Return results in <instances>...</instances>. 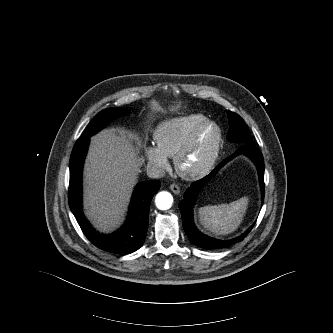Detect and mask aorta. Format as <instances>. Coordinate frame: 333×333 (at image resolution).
Returning a JSON list of instances; mask_svg holds the SVG:
<instances>
[{"label": "aorta", "mask_w": 333, "mask_h": 333, "mask_svg": "<svg viewBox=\"0 0 333 333\" xmlns=\"http://www.w3.org/2000/svg\"><path fill=\"white\" fill-rule=\"evenodd\" d=\"M173 203V197L169 192L162 191L156 195L155 204L160 210H168Z\"/></svg>", "instance_id": "obj_1"}]
</instances>
